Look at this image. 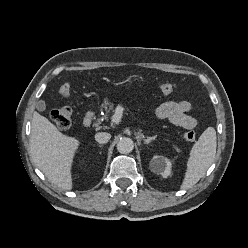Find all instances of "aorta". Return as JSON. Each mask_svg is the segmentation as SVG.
I'll use <instances>...</instances> for the list:
<instances>
[{
	"instance_id": "aorta-1",
	"label": "aorta",
	"mask_w": 248,
	"mask_h": 248,
	"mask_svg": "<svg viewBox=\"0 0 248 248\" xmlns=\"http://www.w3.org/2000/svg\"><path fill=\"white\" fill-rule=\"evenodd\" d=\"M117 150L122 154H128L134 149V142L131 138L123 137L117 143Z\"/></svg>"
}]
</instances>
